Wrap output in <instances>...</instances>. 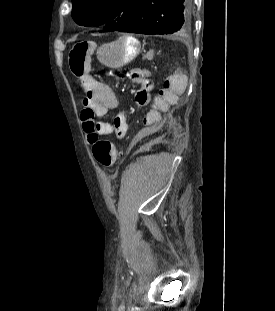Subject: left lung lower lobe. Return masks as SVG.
Instances as JSON below:
<instances>
[{
	"instance_id": "obj_1",
	"label": "left lung lower lobe",
	"mask_w": 275,
	"mask_h": 311,
	"mask_svg": "<svg viewBox=\"0 0 275 311\" xmlns=\"http://www.w3.org/2000/svg\"><path fill=\"white\" fill-rule=\"evenodd\" d=\"M192 0H142L134 15L113 31L148 35L183 34L191 29Z\"/></svg>"
}]
</instances>
